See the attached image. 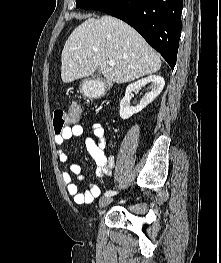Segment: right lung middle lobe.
<instances>
[{
	"label": "right lung middle lobe",
	"instance_id": "obj_1",
	"mask_svg": "<svg viewBox=\"0 0 221 263\" xmlns=\"http://www.w3.org/2000/svg\"><path fill=\"white\" fill-rule=\"evenodd\" d=\"M103 0H76V8H83L85 10L94 9Z\"/></svg>",
	"mask_w": 221,
	"mask_h": 263
}]
</instances>
